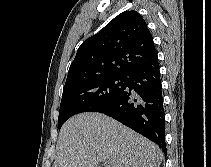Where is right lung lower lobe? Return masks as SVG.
<instances>
[{
	"instance_id": "right-lung-lower-lobe-1",
	"label": "right lung lower lobe",
	"mask_w": 211,
	"mask_h": 167,
	"mask_svg": "<svg viewBox=\"0 0 211 167\" xmlns=\"http://www.w3.org/2000/svg\"><path fill=\"white\" fill-rule=\"evenodd\" d=\"M125 89L95 112L104 113L153 141L166 155L165 113L157 56L125 75Z\"/></svg>"
}]
</instances>
